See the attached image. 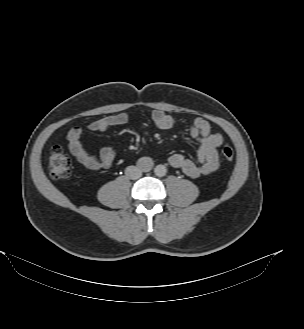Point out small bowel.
Listing matches in <instances>:
<instances>
[{"instance_id": "small-bowel-1", "label": "small bowel", "mask_w": 304, "mask_h": 329, "mask_svg": "<svg viewBox=\"0 0 304 329\" xmlns=\"http://www.w3.org/2000/svg\"><path fill=\"white\" fill-rule=\"evenodd\" d=\"M153 123L160 129H171L179 124L171 115L155 110L151 114ZM130 118L127 114L102 117L90 122L87 129L90 131L103 132L116 125H125L129 123ZM191 137L198 143L197 162L186 158L181 154H173L169 157L170 165L191 178H198L209 175L219 167L218 148L223 143V137L218 133H211L209 123L203 118L196 117L187 122ZM69 150L71 154L86 169L99 171L109 168L115 158V150L112 147L104 148L99 156L88 152L82 141V130L79 127H73L68 134Z\"/></svg>"}]
</instances>
